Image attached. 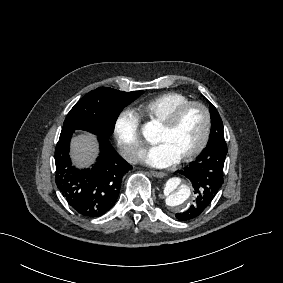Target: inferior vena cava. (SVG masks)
Returning a JSON list of instances; mask_svg holds the SVG:
<instances>
[{
    "label": "inferior vena cava",
    "instance_id": "obj_1",
    "mask_svg": "<svg viewBox=\"0 0 283 283\" xmlns=\"http://www.w3.org/2000/svg\"><path fill=\"white\" fill-rule=\"evenodd\" d=\"M146 152L138 147H129V159L131 164H137L144 157Z\"/></svg>",
    "mask_w": 283,
    "mask_h": 283
}]
</instances>
